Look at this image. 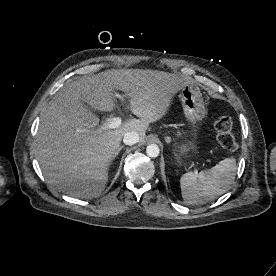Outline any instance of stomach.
Here are the masks:
<instances>
[{
    "mask_svg": "<svg viewBox=\"0 0 276 276\" xmlns=\"http://www.w3.org/2000/svg\"><path fill=\"white\" fill-rule=\"evenodd\" d=\"M179 99L182 103L185 117L193 124L200 123L207 114L206 105L199 87L187 84L181 88ZM197 146L193 142L182 144L179 149L181 156L194 153Z\"/></svg>",
    "mask_w": 276,
    "mask_h": 276,
    "instance_id": "1",
    "label": "stomach"
}]
</instances>
